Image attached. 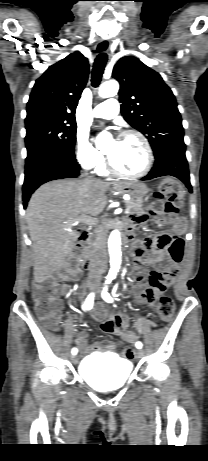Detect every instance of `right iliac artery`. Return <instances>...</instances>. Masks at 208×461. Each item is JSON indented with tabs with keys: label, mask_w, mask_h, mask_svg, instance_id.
I'll use <instances>...</instances> for the list:
<instances>
[{
	"label": "right iliac artery",
	"mask_w": 208,
	"mask_h": 461,
	"mask_svg": "<svg viewBox=\"0 0 208 461\" xmlns=\"http://www.w3.org/2000/svg\"><path fill=\"white\" fill-rule=\"evenodd\" d=\"M93 301H94V293H91V294L87 297V299H86V301H85V304H84V306H83V309L90 310V309L92 308V306H93ZM77 352H78V350H77L76 348H73V349H72V354H73V355H76Z\"/></svg>",
	"instance_id": "obj_1"
}]
</instances>
